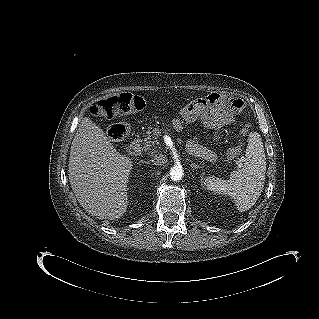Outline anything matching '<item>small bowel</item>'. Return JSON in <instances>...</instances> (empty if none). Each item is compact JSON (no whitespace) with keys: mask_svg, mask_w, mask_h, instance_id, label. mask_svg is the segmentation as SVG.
<instances>
[{"mask_svg":"<svg viewBox=\"0 0 319 319\" xmlns=\"http://www.w3.org/2000/svg\"><path fill=\"white\" fill-rule=\"evenodd\" d=\"M236 123V112L234 110L228 111L222 107H217L211 109L208 112V118L206 120V125L214 131L216 138L220 139L221 129L225 126H229ZM173 125L177 130L182 129V124L179 119L173 121ZM187 148L190 153L205 157L208 159H213V154L209 152L206 148L200 146L194 137L190 138L187 143Z\"/></svg>","mask_w":319,"mask_h":319,"instance_id":"obj_1","label":"small bowel"}]
</instances>
